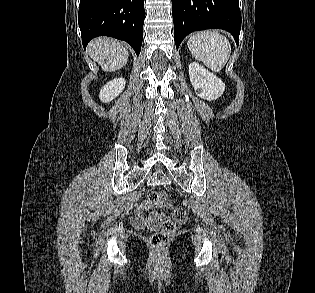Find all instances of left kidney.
<instances>
[{
    "label": "left kidney",
    "mask_w": 315,
    "mask_h": 293,
    "mask_svg": "<svg viewBox=\"0 0 315 293\" xmlns=\"http://www.w3.org/2000/svg\"><path fill=\"white\" fill-rule=\"evenodd\" d=\"M189 76L197 95L208 101L217 99L225 91V84L199 63L189 65Z\"/></svg>",
    "instance_id": "left-kidney-1"
}]
</instances>
